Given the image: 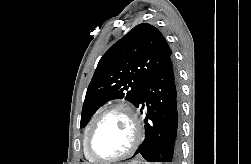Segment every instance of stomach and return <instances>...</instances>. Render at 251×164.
<instances>
[{
  "instance_id": "0dacf381",
  "label": "stomach",
  "mask_w": 251,
  "mask_h": 164,
  "mask_svg": "<svg viewBox=\"0 0 251 164\" xmlns=\"http://www.w3.org/2000/svg\"><path fill=\"white\" fill-rule=\"evenodd\" d=\"M125 164H129V163H125ZM133 164H141L139 161H134Z\"/></svg>"
}]
</instances>
